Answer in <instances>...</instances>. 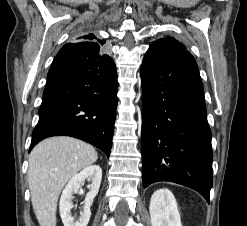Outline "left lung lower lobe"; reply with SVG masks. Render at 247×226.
<instances>
[{
  "mask_svg": "<svg viewBox=\"0 0 247 226\" xmlns=\"http://www.w3.org/2000/svg\"><path fill=\"white\" fill-rule=\"evenodd\" d=\"M141 80L143 187L174 182L198 191L209 203L211 131L194 57L187 50L149 47Z\"/></svg>",
  "mask_w": 247,
  "mask_h": 226,
  "instance_id": "obj_1",
  "label": "left lung lower lobe"
}]
</instances>
